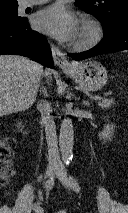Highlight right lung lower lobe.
<instances>
[{"mask_svg":"<svg viewBox=\"0 0 128 213\" xmlns=\"http://www.w3.org/2000/svg\"><path fill=\"white\" fill-rule=\"evenodd\" d=\"M4 54L26 56L53 67L50 46L41 34L31 30L27 18L0 20V55Z\"/></svg>","mask_w":128,"mask_h":213,"instance_id":"1","label":"right lung lower lobe"}]
</instances>
